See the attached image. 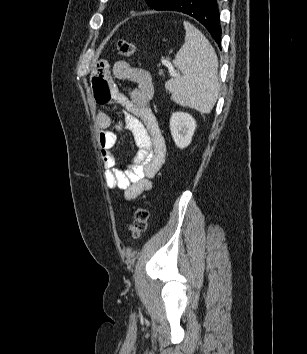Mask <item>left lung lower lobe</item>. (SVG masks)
I'll return each instance as SVG.
<instances>
[{
  "instance_id": "obj_1",
  "label": "left lung lower lobe",
  "mask_w": 307,
  "mask_h": 354,
  "mask_svg": "<svg viewBox=\"0 0 307 354\" xmlns=\"http://www.w3.org/2000/svg\"><path fill=\"white\" fill-rule=\"evenodd\" d=\"M159 10L178 11L195 18L204 25L220 47L222 30L216 0H169Z\"/></svg>"
}]
</instances>
